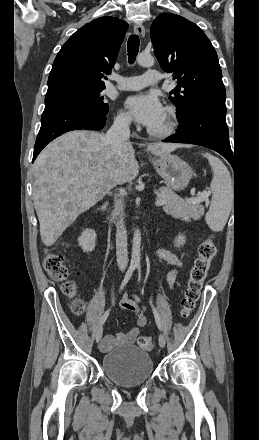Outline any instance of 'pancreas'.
I'll list each match as a JSON object with an SVG mask.
<instances>
[{"label": "pancreas", "instance_id": "obj_1", "mask_svg": "<svg viewBox=\"0 0 259 440\" xmlns=\"http://www.w3.org/2000/svg\"><path fill=\"white\" fill-rule=\"evenodd\" d=\"M161 196L157 199H165L166 203L163 205V210L172 216L181 217L185 219H198L204 214V207L198 203H192L178 197L171 189L167 187H160ZM113 214V217H115Z\"/></svg>", "mask_w": 259, "mask_h": 440}]
</instances>
